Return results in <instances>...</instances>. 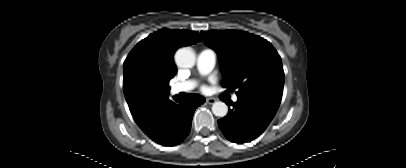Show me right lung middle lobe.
Returning a JSON list of instances; mask_svg holds the SVG:
<instances>
[{"label": "right lung middle lobe", "instance_id": "obj_1", "mask_svg": "<svg viewBox=\"0 0 406 168\" xmlns=\"http://www.w3.org/2000/svg\"><path fill=\"white\" fill-rule=\"evenodd\" d=\"M169 87H165L162 90H155L153 89V91H151V99L153 103H156L158 101H160L161 99L165 98L168 96L169 94Z\"/></svg>", "mask_w": 406, "mask_h": 168}]
</instances>
